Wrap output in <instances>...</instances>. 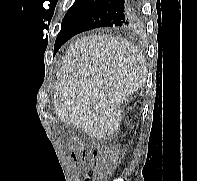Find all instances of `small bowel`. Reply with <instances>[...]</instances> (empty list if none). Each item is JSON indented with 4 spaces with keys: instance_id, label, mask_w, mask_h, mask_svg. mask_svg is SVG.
<instances>
[{
    "instance_id": "obj_1",
    "label": "small bowel",
    "mask_w": 197,
    "mask_h": 181,
    "mask_svg": "<svg viewBox=\"0 0 197 181\" xmlns=\"http://www.w3.org/2000/svg\"><path fill=\"white\" fill-rule=\"evenodd\" d=\"M85 157V153H83V158Z\"/></svg>"
}]
</instances>
